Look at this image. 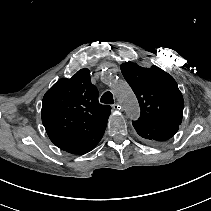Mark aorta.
<instances>
[{"label": "aorta", "mask_w": 211, "mask_h": 211, "mask_svg": "<svg viewBox=\"0 0 211 211\" xmlns=\"http://www.w3.org/2000/svg\"><path fill=\"white\" fill-rule=\"evenodd\" d=\"M113 91L118 101L123 104L127 115L130 118H137L139 116V105L128 84L119 81L113 85Z\"/></svg>", "instance_id": "762f6f07"}]
</instances>
